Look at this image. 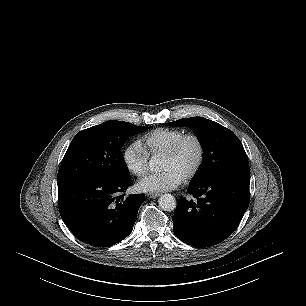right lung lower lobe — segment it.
<instances>
[{
  "instance_id": "1",
  "label": "right lung lower lobe",
  "mask_w": 306,
  "mask_h": 306,
  "mask_svg": "<svg viewBox=\"0 0 306 306\" xmlns=\"http://www.w3.org/2000/svg\"><path fill=\"white\" fill-rule=\"evenodd\" d=\"M130 184L122 179L86 177L58 188L59 212L71 232L95 247L112 246L132 231L144 194L119 193ZM119 195V196H118Z\"/></svg>"
}]
</instances>
